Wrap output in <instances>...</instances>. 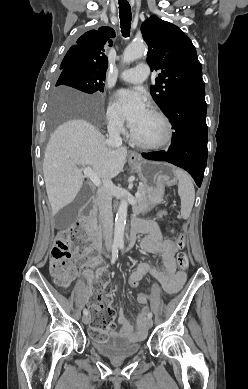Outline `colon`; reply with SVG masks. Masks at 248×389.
<instances>
[{
	"mask_svg": "<svg viewBox=\"0 0 248 389\" xmlns=\"http://www.w3.org/2000/svg\"><path fill=\"white\" fill-rule=\"evenodd\" d=\"M176 242L181 247L184 243V235L180 234ZM83 259L95 262L94 286L92 288L94 294L90 298L92 305L88 306V311L93 312V321L91 326H86L85 331L91 333L99 344H104L106 332L113 329L115 318V311L110 306L111 298L109 297L112 295V290L104 288L108 280L111 279V274L99 265L83 229L79 225L60 230L56 234L49 262L50 273L55 283L62 287L68 286L76 273L71 261H82ZM177 264L181 271L188 268L189 260L185 252L177 254ZM126 278L129 279V288L138 287L140 282L138 277H131L130 274H127ZM153 296L152 291L136 292L137 298H141L143 301L150 299L151 303H156L159 297L154 298Z\"/></svg>",
	"mask_w": 248,
	"mask_h": 389,
	"instance_id": "obj_1",
	"label": "colon"
}]
</instances>
